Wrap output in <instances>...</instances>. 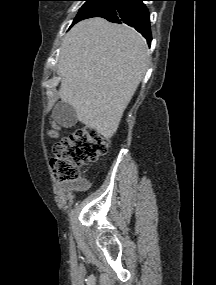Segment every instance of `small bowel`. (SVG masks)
<instances>
[{"label": "small bowel", "mask_w": 216, "mask_h": 285, "mask_svg": "<svg viewBox=\"0 0 216 285\" xmlns=\"http://www.w3.org/2000/svg\"><path fill=\"white\" fill-rule=\"evenodd\" d=\"M86 187V183L85 182H78V183H75V184H66L63 186V189L64 190H71V189H77V190H80V189H84Z\"/></svg>", "instance_id": "1"}]
</instances>
